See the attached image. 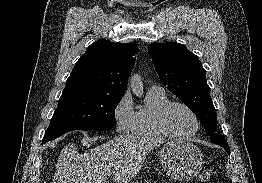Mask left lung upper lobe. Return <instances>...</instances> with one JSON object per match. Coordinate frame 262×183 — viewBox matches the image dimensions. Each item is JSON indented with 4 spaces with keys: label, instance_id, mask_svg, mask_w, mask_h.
I'll use <instances>...</instances> for the list:
<instances>
[{
    "label": "left lung upper lobe",
    "instance_id": "left-lung-upper-lobe-1",
    "mask_svg": "<svg viewBox=\"0 0 262 183\" xmlns=\"http://www.w3.org/2000/svg\"><path fill=\"white\" fill-rule=\"evenodd\" d=\"M148 52L161 82L201 120L210 141L227 143L217 132V116L206 82V71L198 57L185 45L175 42L153 43Z\"/></svg>",
    "mask_w": 262,
    "mask_h": 183
}]
</instances>
